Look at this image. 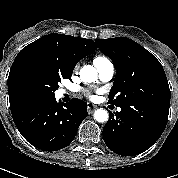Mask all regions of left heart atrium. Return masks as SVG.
Returning a JSON list of instances; mask_svg holds the SVG:
<instances>
[{
	"label": "left heart atrium",
	"mask_w": 178,
	"mask_h": 178,
	"mask_svg": "<svg viewBox=\"0 0 178 178\" xmlns=\"http://www.w3.org/2000/svg\"><path fill=\"white\" fill-rule=\"evenodd\" d=\"M85 94H86V96H88V97H92V95H91L88 91H85Z\"/></svg>",
	"instance_id": "left-heart-atrium-1"
}]
</instances>
